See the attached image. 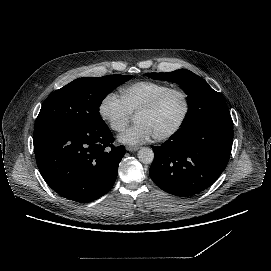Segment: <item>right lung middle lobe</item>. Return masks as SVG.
Masks as SVG:
<instances>
[{
	"label": "right lung middle lobe",
	"instance_id": "right-lung-middle-lobe-1",
	"mask_svg": "<svg viewBox=\"0 0 271 271\" xmlns=\"http://www.w3.org/2000/svg\"><path fill=\"white\" fill-rule=\"evenodd\" d=\"M131 75L78 78L53 92L44 102L35 127L46 123L94 126L104 123L99 113L101 101Z\"/></svg>",
	"mask_w": 271,
	"mask_h": 271
}]
</instances>
